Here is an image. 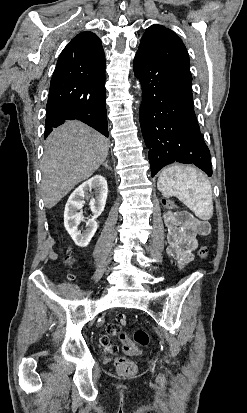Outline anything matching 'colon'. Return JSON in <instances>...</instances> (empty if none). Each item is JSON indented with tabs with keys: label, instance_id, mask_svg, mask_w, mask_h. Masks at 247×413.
Returning a JSON list of instances; mask_svg holds the SVG:
<instances>
[{
	"label": "colon",
	"instance_id": "colon-1",
	"mask_svg": "<svg viewBox=\"0 0 247 413\" xmlns=\"http://www.w3.org/2000/svg\"><path fill=\"white\" fill-rule=\"evenodd\" d=\"M165 204L169 206V209H176V204L173 200H165ZM198 254L201 258L206 259L210 255V249L206 246L201 245L198 248ZM75 258L71 251H68L64 257V264L70 266L74 263ZM127 337L120 335L117 337V340H122V354L124 356H131L136 353L138 347H142L144 343H149L150 335L146 330H135L132 336L130 332H125ZM116 369L119 373L124 375H133L137 371L136 363L132 360H129L126 357H119L115 361Z\"/></svg>",
	"mask_w": 247,
	"mask_h": 413
}]
</instances>
